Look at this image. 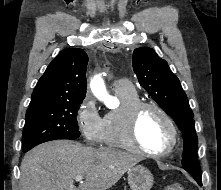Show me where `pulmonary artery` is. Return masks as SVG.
Wrapping results in <instances>:
<instances>
[{
	"instance_id": "pulmonary-artery-1",
	"label": "pulmonary artery",
	"mask_w": 221,
	"mask_h": 190,
	"mask_svg": "<svg viewBox=\"0 0 221 190\" xmlns=\"http://www.w3.org/2000/svg\"><path fill=\"white\" fill-rule=\"evenodd\" d=\"M129 85V82L127 80L121 79V80H116L114 82V87H118V86H126Z\"/></svg>"
}]
</instances>
